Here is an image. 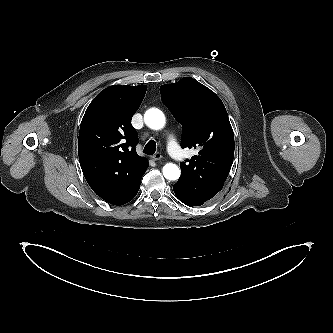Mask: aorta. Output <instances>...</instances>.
Returning a JSON list of instances; mask_svg holds the SVG:
<instances>
[{"mask_svg":"<svg viewBox=\"0 0 333 333\" xmlns=\"http://www.w3.org/2000/svg\"><path fill=\"white\" fill-rule=\"evenodd\" d=\"M145 124L153 129L160 130L165 125V116L163 112L156 108H151L144 115ZM163 175L168 180H177L180 176V169L176 164L167 163L163 169Z\"/></svg>","mask_w":333,"mask_h":333,"instance_id":"aorta-1","label":"aorta"}]
</instances>
